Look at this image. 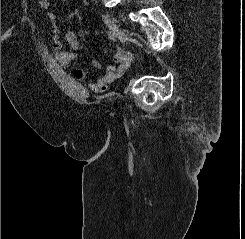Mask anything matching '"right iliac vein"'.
Instances as JSON below:
<instances>
[{
	"instance_id": "right-iliac-vein-1",
	"label": "right iliac vein",
	"mask_w": 245,
	"mask_h": 239,
	"mask_svg": "<svg viewBox=\"0 0 245 239\" xmlns=\"http://www.w3.org/2000/svg\"><path fill=\"white\" fill-rule=\"evenodd\" d=\"M101 15L105 24L109 27V29L121 41L122 44H125L127 39L125 33L121 29H119V27L108 17V15L104 13H101Z\"/></svg>"
}]
</instances>
